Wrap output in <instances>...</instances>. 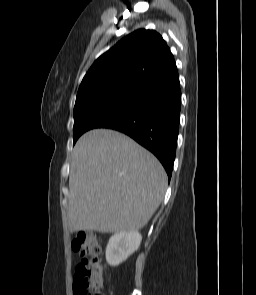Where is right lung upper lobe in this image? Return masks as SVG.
I'll return each mask as SVG.
<instances>
[{
	"mask_svg": "<svg viewBox=\"0 0 256 295\" xmlns=\"http://www.w3.org/2000/svg\"><path fill=\"white\" fill-rule=\"evenodd\" d=\"M174 57L154 30L139 29L120 40L91 66L79 87L76 102L93 104L137 92L164 72Z\"/></svg>",
	"mask_w": 256,
	"mask_h": 295,
	"instance_id": "1",
	"label": "right lung upper lobe"
}]
</instances>
